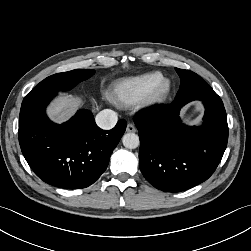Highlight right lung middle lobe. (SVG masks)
<instances>
[{
	"mask_svg": "<svg viewBox=\"0 0 251 251\" xmlns=\"http://www.w3.org/2000/svg\"><path fill=\"white\" fill-rule=\"evenodd\" d=\"M95 73L92 69H76L68 72L57 73L47 77L33 90L42 91H68L79 82L90 78Z\"/></svg>",
	"mask_w": 251,
	"mask_h": 251,
	"instance_id": "dd1d6c3e",
	"label": "right lung middle lobe"
}]
</instances>
